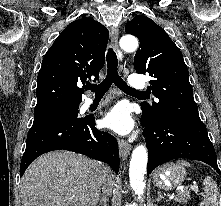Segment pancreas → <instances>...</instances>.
Instances as JSON below:
<instances>
[{
  "mask_svg": "<svg viewBox=\"0 0 221 206\" xmlns=\"http://www.w3.org/2000/svg\"><path fill=\"white\" fill-rule=\"evenodd\" d=\"M191 198L190 193L184 192L180 193L179 197L176 198V200L180 203H186Z\"/></svg>",
  "mask_w": 221,
  "mask_h": 206,
  "instance_id": "1",
  "label": "pancreas"
}]
</instances>
